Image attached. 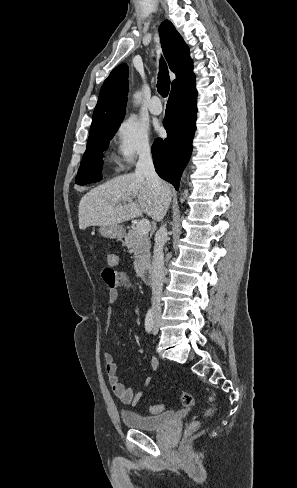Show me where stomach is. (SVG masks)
Wrapping results in <instances>:
<instances>
[{
    "mask_svg": "<svg viewBox=\"0 0 297 488\" xmlns=\"http://www.w3.org/2000/svg\"><path fill=\"white\" fill-rule=\"evenodd\" d=\"M100 233L106 238H123L125 236V230L120 225L101 226Z\"/></svg>",
    "mask_w": 297,
    "mask_h": 488,
    "instance_id": "0dacf381",
    "label": "stomach"
}]
</instances>
